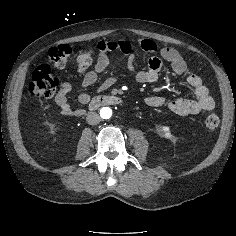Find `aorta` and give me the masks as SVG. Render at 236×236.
<instances>
[{"instance_id": "aorta-1", "label": "aorta", "mask_w": 236, "mask_h": 236, "mask_svg": "<svg viewBox=\"0 0 236 236\" xmlns=\"http://www.w3.org/2000/svg\"><path fill=\"white\" fill-rule=\"evenodd\" d=\"M112 109L109 108V107H103L101 110H100V116L103 118V119H109L111 116H112Z\"/></svg>"}]
</instances>
